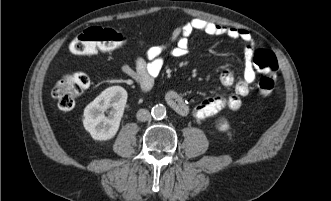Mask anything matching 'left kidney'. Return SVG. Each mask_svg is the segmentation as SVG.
<instances>
[{
  "label": "left kidney",
  "mask_w": 331,
  "mask_h": 201,
  "mask_svg": "<svg viewBox=\"0 0 331 201\" xmlns=\"http://www.w3.org/2000/svg\"><path fill=\"white\" fill-rule=\"evenodd\" d=\"M216 126L220 131H227L230 127L228 121L225 118L219 119Z\"/></svg>",
  "instance_id": "obj_1"
}]
</instances>
